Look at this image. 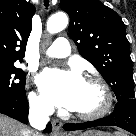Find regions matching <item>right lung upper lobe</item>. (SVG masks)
<instances>
[{"mask_svg": "<svg viewBox=\"0 0 136 136\" xmlns=\"http://www.w3.org/2000/svg\"><path fill=\"white\" fill-rule=\"evenodd\" d=\"M34 12L26 0H0V64L22 61Z\"/></svg>", "mask_w": 136, "mask_h": 136, "instance_id": "1", "label": "right lung upper lobe"}]
</instances>
